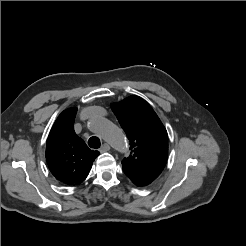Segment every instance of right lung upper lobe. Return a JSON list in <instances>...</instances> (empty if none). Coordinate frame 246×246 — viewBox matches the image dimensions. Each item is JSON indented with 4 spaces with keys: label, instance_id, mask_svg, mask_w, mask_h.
Listing matches in <instances>:
<instances>
[{
    "label": "right lung upper lobe",
    "instance_id": "obj_1",
    "mask_svg": "<svg viewBox=\"0 0 246 246\" xmlns=\"http://www.w3.org/2000/svg\"><path fill=\"white\" fill-rule=\"evenodd\" d=\"M77 108L64 110L56 119L46 143V161L52 175L67 185H78L87 177L99 155L87 147L74 131Z\"/></svg>",
    "mask_w": 246,
    "mask_h": 246
}]
</instances>
